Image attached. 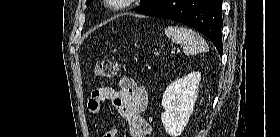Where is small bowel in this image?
Returning a JSON list of instances; mask_svg holds the SVG:
<instances>
[{
	"label": "small bowel",
	"instance_id": "small-bowel-1",
	"mask_svg": "<svg viewBox=\"0 0 280 137\" xmlns=\"http://www.w3.org/2000/svg\"><path fill=\"white\" fill-rule=\"evenodd\" d=\"M105 101H110L118 115L126 120L131 137H147L150 128L142 114L148 104V93L143 85L131 77L123 76L119 79V90L109 86L94 88L88 101L90 112L98 113ZM108 132L115 134V129Z\"/></svg>",
	"mask_w": 280,
	"mask_h": 137
}]
</instances>
